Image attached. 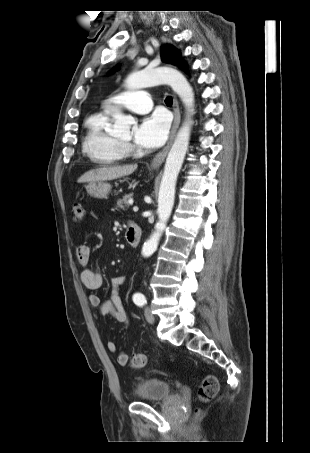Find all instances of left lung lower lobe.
<instances>
[{"mask_svg":"<svg viewBox=\"0 0 310 453\" xmlns=\"http://www.w3.org/2000/svg\"><path fill=\"white\" fill-rule=\"evenodd\" d=\"M180 68L186 71V69H187L186 64L183 63L182 66H181Z\"/></svg>","mask_w":310,"mask_h":453,"instance_id":"left-lung-lower-lobe-1","label":"left lung lower lobe"}]
</instances>
